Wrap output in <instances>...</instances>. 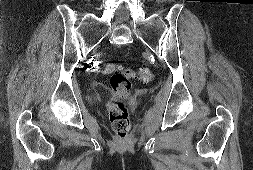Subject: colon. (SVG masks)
I'll use <instances>...</instances> for the list:
<instances>
[{
    "label": "colon",
    "mask_w": 253,
    "mask_h": 170,
    "mask_svg": "<svg viewBox=\"0 0 253 170\" xmlns=\"http://www.w3.org/2000/svg\"><path fill=\"white\" fill-rule=\"evenodd\" d=\"M104 72L110 75L112 89L117 95V100L109 108V119L117 138L123 140L127 138L130 128L129 113L124 103L130 94V80L138 78L143 83H149L154 75L148 66H142L134 71L116 63L106 64Z\"/></svg>",
    "instance_id": "5ec220e1"
}]
</instances>
